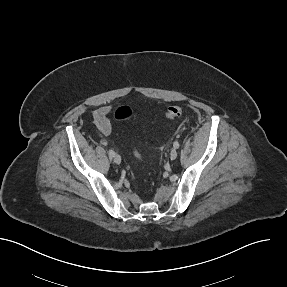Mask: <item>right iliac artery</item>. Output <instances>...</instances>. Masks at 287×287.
<instances>
[{
  "label": "right iliac artery",
  "instance_id": "82829eb1",
  "mask_svg": "<svg viewBox=\"0 0 287 287\" xmlns=\"http://www.w3.org/2000/svg\"><path fill=\"white\" fill-rule=\"evenodd\" d=\"M109 156L110 157H114L115 156V152L113 150H109Z\"/></svg>",
  "mask_w": 287,
  "mask_h": 287
}]
</instances>
